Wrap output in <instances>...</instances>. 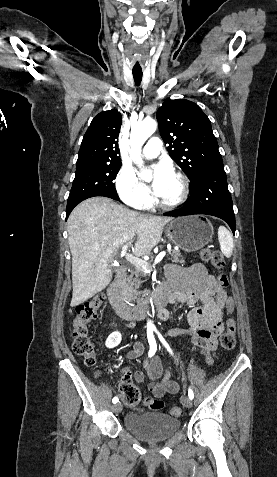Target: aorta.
I'll return each instance as SVG.
<instances>
[{
  "instance_id": "762f6f07",
  "label": "aorta",
  "mask_w": 277,
  "mask_h": 477,
  "mask_svg": "<svg viewBox=\"0 0 277 477\" xmlns=\"http://www.w3.org/2000/svg\"><path fill=\"white\" fill-rule=\"evenodd\" d=\"M157 123L151 118L144 119L141 122H138L132 125L131 134H130V145L131 149L129 150L130 156L134 163L139 167L143 165L141 159V148L144 142L156 131ZM145 180L149 181L152 178L150 173L145 174ZM148 327L153 328V323L149 320L147 322Z\"/></svg>"
}]
</instances>
